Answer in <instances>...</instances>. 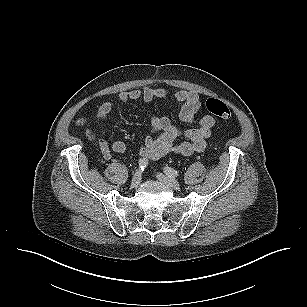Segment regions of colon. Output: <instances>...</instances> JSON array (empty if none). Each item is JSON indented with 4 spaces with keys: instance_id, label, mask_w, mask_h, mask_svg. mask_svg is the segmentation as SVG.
<instances>
[{
    "instance_id": "obj_1",
    "label": "colon",
    "mask_w": 307,
    "mask_h": 307,
    "mask_svg": "<svg viewBox=\"0 0 307 307\" xmlns=\"http://www.w3.org/2000/svg\"><path fill=\"white\" fill-rule=\"evenodd\" d=\"M205 108L209 113L221 119L227 120L231 117V112L229 108L224 102L219 99L209 98L205 103Z\"/></svg>"
}]
</instances>
